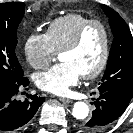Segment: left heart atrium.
Here are the masks:
<instances>
[{"label":"left heart atrium","mask_w":133,"mask_h":133,"mask_svg":"<svg viewBox=\"0 0 133 133\" xmlns=\"http://www.w3.org/2000/svg\"><path fill=\"white\" fill-rule=\"evenodd\" d=\"M81 77L78 69L68 61H62L49 70L35 75V84L43 91L65 95Z\"/></svg>","instance_id":"left-heart-atrium-1"}]
</instances>
